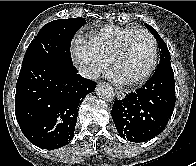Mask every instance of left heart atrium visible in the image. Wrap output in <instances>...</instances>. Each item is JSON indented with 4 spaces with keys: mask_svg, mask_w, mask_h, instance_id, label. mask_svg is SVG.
Returning <instances> with one entry per match:
<instances>
[{
    "mask_svg": "<svg viewBox=\"0 0 196 166\" xmlns=\"http://www.w3.org/2000/svg\"><path fill=\"white\" fill-rule=\"evenodd\" d=\"M115 78H116L118 81H123V79H121L118 75H116Z\"/></svg>",
    "mask_w": 196,
    "mask_h": 166,
    "instance_id": "left-heart-atrium-1",
    "label": "left heart atrium"
}]
</instances>
